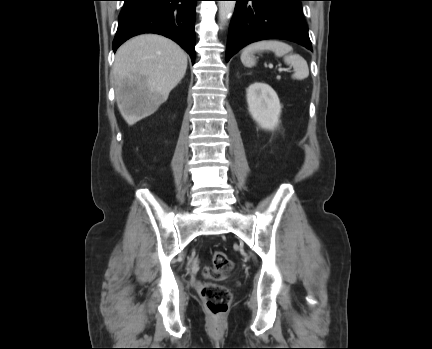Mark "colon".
Listing matches in <instances>:
<instances>
[{
	"mask_svg": "<svg viewBox=\"0 0 432 349\" xmlns=\"http://www.w3.org/2000/svg\"><path fill=\"white\" fill-rule=\"evenodd\" d=\"M212 264L215 271L223 274L230 272L233 268L232 261L222 251H215L212 254ZM201 294L213 315L221 316L226 313L231 303V293L228 289L207 284L203 287Z\"/></svg>",
	"mask_w": 432,
	"mask_h": 349,
	"instance_id": "5ec220e1",
	"label": "colon"
}]
</instances>
